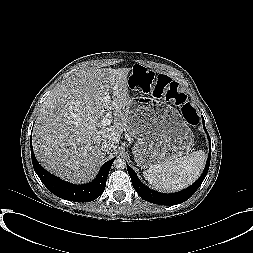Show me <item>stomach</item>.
Instances as JSON below:
<instances>
[{"label": "stomach", "instance_id": "1", "mask_svg": "<svg viewBox=\"0 0 253 253\" xmlns=\"http://www.w3.org/2000/svg\"><path fill=\"white\" fill-rule=\"evenodd\" d=\"M125 128L137 140L133 155L144 169L179 158L194 145V135L183 115L150 97L130 99Z\"/></svg>", "mask_w": 253, "mask_h": 253}]
</instances>
